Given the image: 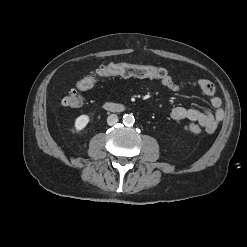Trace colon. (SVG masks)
<instances>
[{"label": "colon", "mask_w": 247, "mask_h": 247, "mask_svg": "<svg viewBox=\"0 0 247 247\" xmlns=\"http://www.w3.org/2000/svg\"><path fill=\"white\" fill-rule=\"evenodd\" d=\"M120 76V77H134V78H153L163 80L168 76L164 68L146 65H135L129 63H111L99 67L95 72L83 77L76 83L78 90L86 91L92 89L101 80ZM82 97L75 89L68 91L63 97L62 104L69 108H78L82 105ZM188 131L192 134L201 132V127L198 124H190Z\"/></svg>", "instance_id": "colon-1"}]
</instances>
